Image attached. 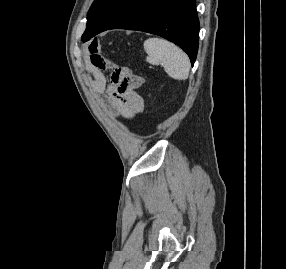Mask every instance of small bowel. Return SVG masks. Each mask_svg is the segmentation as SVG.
<instances>
[{"mask_svg":"<svg viewBox=\"0 0 286 269\" xmlns=\"http://www.w3.org/2000/svg\"><path fill=\"white\" fill-rule=\"evenodd\" d=\"M89 62L87 68L90 71L88 76L90 85L93 91L98 95L106 93V107L109 114L113 118H121L125 120H132L142 110H125L124 100H121V95H118L117 88L113 82V73L107 79L105 71L112 70L115 64L107 60L99 50L98 43H91L88 47ZM140 78V77H138ZM144 107V103L142 105Z\"/></svg>","mask_w":286,"mask_h":269,"instance_id":"obj_1","label":"small bowel"}]
</instances>
